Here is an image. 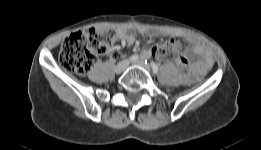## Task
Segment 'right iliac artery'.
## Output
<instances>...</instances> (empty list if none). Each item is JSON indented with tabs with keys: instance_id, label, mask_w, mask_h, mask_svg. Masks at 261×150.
Here are the masks:
<instances>
[{
	"instance_id": "obj_1",
	"label": "right iliac artery",
	"mask_w": 261,
	"mask_h": 150,
	"mask_svg": "<svg viewBox=\"0 0 261 150\" xmlns=\"http://www.w3.org/2000/svg\"><path fill=\"white\" fill-rule=\"evenodd\" d=\"M139 59V56L137 54H134L130 57L131 61H137Z\"/></svg>"
}]
</instances>
